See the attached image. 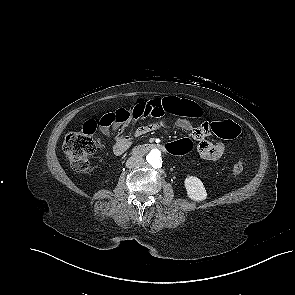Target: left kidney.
<instances>
[{
	"mask_svg": "<svg viewBox=\"0 0 295 295\" xmlns=\"http://www.w3.org/2000/svg\"><path fill=\"white\" fill-rule=\"evenodd\" d=\"M184 186L188 197L196 202L203 201L207 197V192L202 181L194 176H189L184 181Z\"/></svg>",
	"mask_w": 295,
	"mask_h": 295,
	"instance_id": "obj_1",
	"label": "left kidney"
}]
</instances>
